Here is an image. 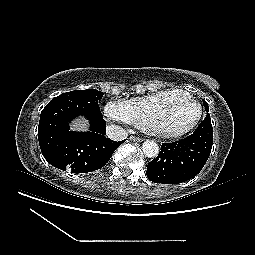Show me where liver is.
<instances>
[{"label":"liver","mask_w":255,"mask_h":255,"mask_svg":"<svg viewBox=\"0 0 255 255\" xmlns=\"http://www.w3.org/2000/svg\"><path fill=\"white\" fill-rule=\"evenodd\" d=\"M89 128L88 121L85 118H79L72 123V130L74 131H87Z\"/></svg>","instance_id":"liver-1"}]
</instances>
